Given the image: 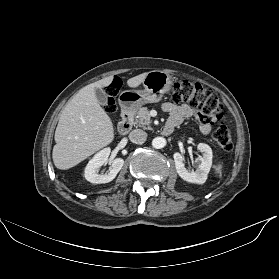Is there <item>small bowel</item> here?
<instances>
[{
	"label": "small bowel",
	"instance_id": "small-bowel-1",
	"mask_svg": "<svg viewBox=\"0 0 279 279\" xmlns=\"http://www.w3.org/2000/svg\"><path fill=\"white\" fill-rule=\"evenodd\" d=\"M162 110L169 114L166 125L173 128L193 114V110L187 104L176 105L166 102L162 105ZM199 130L202 134H208L211 131L210 123H201L199 125Z\"/></svg>",
	"mask_w": 279,
	"mask_h": 279
}]
</instances>
